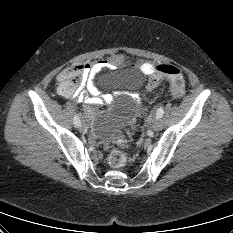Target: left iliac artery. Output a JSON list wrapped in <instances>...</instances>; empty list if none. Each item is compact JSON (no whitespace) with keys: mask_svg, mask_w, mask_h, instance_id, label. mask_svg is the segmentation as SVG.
Segmentation results:
<instances>
[{"mask_svg":"<svg viewBox=\"0 0 233 233\" xmlns=\"http://www.w3.org/2000/svg\"><path fill=\"white\" fill-rule=\"evenodd\" d=\"M163 114H164V108H163V107H160V108L157 110L156 117H157V118H162Z\"/></svg>","mask_w":233,"mask_h":233,"instance_id":"1","label":"left iliac artery"}]
</instances>
